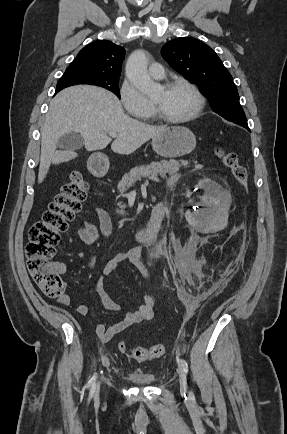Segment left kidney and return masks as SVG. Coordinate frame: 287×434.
Instances as JSON below:
<instances>
[{
    "mask_svg": "<svg viewBox=\"0 0 287 434\" xmlns=\"http://www.w3.org/2000/svg\"><path fill=\"white\" fill-rule=\"evenodd\" d=\"M199 186L205 191L201 200L203 201V204L208 207L205 211L206 214H209L210 217L213 215L219 218L226 217L231 201L229 194L226 193L216 182L210 179L200 181ZM185 218L193 227L198 226L200 223L198 212L193 213L188 210L185 213Z\"/></svg>",
    "mask_w": 287,
    "mask_h": 434,
    "instance_id": "obj_1",
    "label": "left kidney"
}]
</instances>
